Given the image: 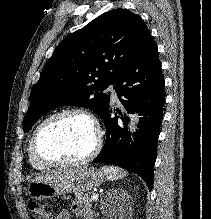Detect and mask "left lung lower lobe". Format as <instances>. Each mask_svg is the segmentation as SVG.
I'll return each instance as SVG.
<instances>
[{
  "mask_svg": "<svg viewBox=\"0 0 211 219\" xmlns=\"http://www.w3.org/2000/svg\"><path fill=\"white\" fill-rule=\"evenodd\" d=\"M164 78L158 58V48L150 35L141 51L118 76L114 83L123 108L128 113L139 112L140 123L133 139L126 127L128 118L121 110L111 118L112 109L103 113L107 138L99 155L92 163H107L129 170L153 188V167L165 103ZM123 97V98H122Z\"/></svg>",
  "mask_w": 211,
  "mask_h": 219,
  "instance_id": "obj_1",
  "label": "left lung lower lobe"
}]
</instances>
